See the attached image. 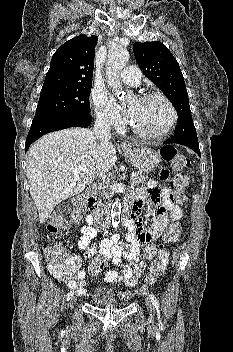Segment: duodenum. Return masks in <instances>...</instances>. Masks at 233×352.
<instances>
[{"mask_svg": "<svg viewBox=\"0 0 233 352\" xmlns=\"http://www.w3.org/2000/svg\"><path fill=\"white\" fill-rule=\"evenodd\" d=\"M98 188L95 185L89 186L83 196V204L90 211L91 217L95 220L99 229H106L111 224V216L105 211L97 201ZM135 210V204L132 199H128L121 211L122 220H128Z\"/></svg>", "mask_w": 233, "mask_h": 352, "instance_id": "410a0bca", "label": "duodenum"}]
</instances>
